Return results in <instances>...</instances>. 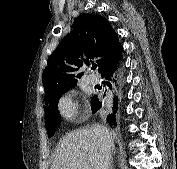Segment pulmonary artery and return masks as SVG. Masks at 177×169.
<instances>
[{
  "instance_id": "pulmonary-artery-1",
  "label": "pulmonary artery",
  "mask_w": 177,
  "mask_h": 169,
  "mask_svg": "<svg viewBox=\"0 0 177 169\" xmlns=\"http://www.w3.org/2000/svg\"><path fill=\"white\" fill-rule=\"evenodd\" d=\"M88 80L93 85H96V84L99 83V77L97 75H94V74L89 75Z\"/></svg>"
}]
</instances>
